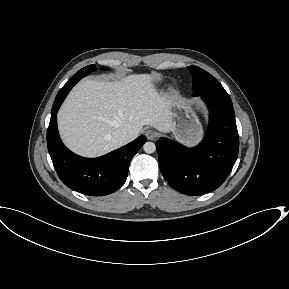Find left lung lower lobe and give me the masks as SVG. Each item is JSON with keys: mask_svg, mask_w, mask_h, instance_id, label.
I'll return each mask as SVG.
<instances>
[{"mask_svg": "<svg viewBox=\"0 0 289 289\" xmlns=\"http://www.w3.org/2000/svg\"><path fill=\"white\" fill-rule=\"evenodd\" d=\"M200 96L210 112L203 141L195 148L184 147L166 138L155 143L163 177L174 189L191 196L218 188L231 172L239 150L231 99Z\"/></svg>", "mask_w": 289, "mask_h": 289, "instance_id": "left-lung-lower-lobe-1", "label": "left lung lower lobe"}]
</instances>
